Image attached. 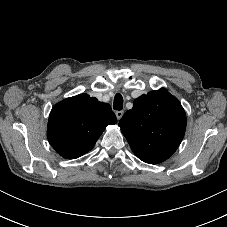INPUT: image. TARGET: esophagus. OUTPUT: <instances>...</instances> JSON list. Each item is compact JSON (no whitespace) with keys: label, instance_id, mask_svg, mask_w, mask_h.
Masks as SVG:
<instances>
[{"label":"esophagus","instance_id":"1","mask_svg":"<svg viewBox=\"0 0 227 227\" xmlns=\"http://www.w3.org/2000/svg\"><path fill=\"white\" fill-rule=\"evenodd\" d=\"M115 114H116L117 119L120 120L122 118L124 112L123 111H116Z\"/></svg>","mask_w":227,"mask_h":227}]
</instances>
